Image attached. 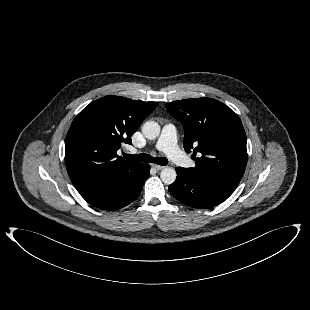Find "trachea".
Returning a JSON list of instances; mask_svg holds the SVG:
<instances>
[{"label": "trachea", "instance_id": "3493384b", "mask_svg": "<svg viewBox=\"0 0 310 310\" xmlns=\"http://www.w3.org/2000/svg\"><path fill=\"white\" fill-rule=\"evenodd\" d=\"M124 158L131 160V161H136V162H147V163H155L158 165L165 166L168 164V160L164 157H152L151 155L148 154H138V155H131V154H126L124 153Z\"/></svg>", "mask_w": 310, "mask_h": 310}]
</instances>
